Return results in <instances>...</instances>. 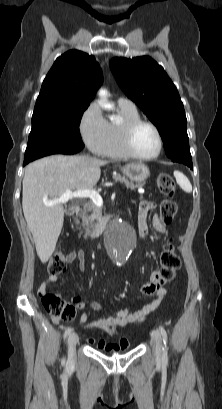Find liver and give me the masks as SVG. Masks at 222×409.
<instances>
[{
	"label": "liver",
	"mask_w": 222,
	"mask_h": 409,
	"mask_svg": "<svg viewBox=\"0 0 222 409\" xmlns=\"http://www.w3.org/2000/svg\"><path fill=\"white\" fill-rule=\"evenodd\" d=\"M108 161L88 156L53 155L30 163L23 178L22 208L42 263L53 254L64 222L61 203L45 205L67 190H91Z\"/></svg>",
	"instance_id": "1"
}]
</instances>
